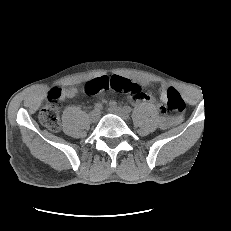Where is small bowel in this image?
<instances>
[{
    "label": "small bowel",
    "instance_id": "obj_1",
    "mask_svg": "<svg viewBox=\"0 0 231 231\" xmlns=\"http://www.w3.org/2000/svg\"><path fill=\"white\" fill-rule=\"evenodd\" d=\"M103 78V77H101ZM99 79V78H98ZM166 87L163 86L162 87V92L164 93ZM61 90V96H60V100H66V99H70L76 96L77 94V90L75 88H68V89H60ZM131 99L134 103H139V102H152L153 101V97L145 92H142L141 90H139V92H137L134 95H131ZM176 123V119L174 118H168L166 120H164L161 123V126L163 128H167L173 124Z\"/></svg>",
    "mask_w": 231,
    "mask_h": 231
}]
</instances>
